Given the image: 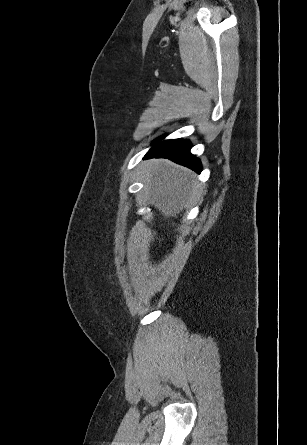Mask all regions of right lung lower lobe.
I'll return each mask as SVG.
<instances>
[{
    "label": "right lung lower lobe",
    "mask_w": 307,
    "mask_h": 445,
    "mask_svg": "<svg viewBox=\"0 0 307 445\" xmlns=\"http://www.w3.org/2000/svg\"><path fill=\"white\" fill-rule=\"evenodd\" d=\"M157 139L144 159L149 158H168L172 161L187 166L197 173L201 172L202 166L198 158L190 153L191 144L188 140L174 139L160 142Z\"/></svg>",
    "instance_id": "1"
}]
</instances>
